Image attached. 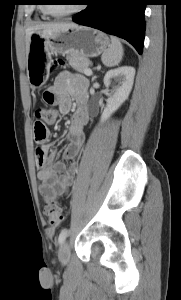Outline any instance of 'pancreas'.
Wrapping results in <instances>:
<instances>
[{
  "label": "pancreas",
  "instance_id": "pancreas-1",
  "mask_svg": "<svg viewBox=\"0 0 181 300\" xmlns=\"http://www.w3.org/2000/svg\"><path fill=\"white\" fill-rule=\"evenodd\" d=\"M67 60L69 61V65L72 66L75 70L80 73L85 74V70L88 69L89 60L83 58L81 55L77 53H71L67 56Z\"/></svg>",
  "mask_w": 181,
  "mask_h": 300
}]
</instances>
